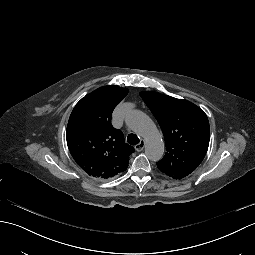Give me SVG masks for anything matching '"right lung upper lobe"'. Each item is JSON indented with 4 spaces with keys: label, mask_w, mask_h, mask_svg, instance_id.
Wrapping results in <instances>:
<instances>
[{
    "label": "right lung upper lobe",
    "mask_w": 255,
    "mask_h": 255,
    "mask_svg": "<svg viewBox=\"0 0 255 255\" xmlns=\"http://www.w3.org/2000/svg\"><path fill=\"white\" fill-rule=\"evenodd\" d=\"M128 89L116 85L98 88L74 107L66 138L76 163L96 179H108L128 167L134 148L124 142L123 134L111 124L114 108Z\"/></svg>",
    "instance_id": "1"
}]
</instances>
